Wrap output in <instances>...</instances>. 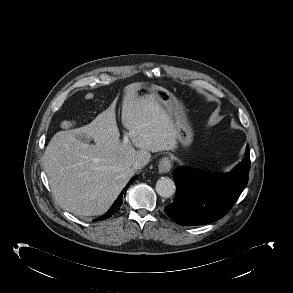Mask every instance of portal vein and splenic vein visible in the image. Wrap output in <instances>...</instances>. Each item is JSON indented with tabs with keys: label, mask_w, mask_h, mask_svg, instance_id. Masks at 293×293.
Returning a JSON list of instances; mask_svg holds the SVG:
<instances>
[{
	"label": "portal vein and splenic vein",
	"mask_w": 293,
	"mask_h": 293,
	"mask_svg": "<svg viewBox=\"0 0 293 293\" xmlns=\"http://www.w3.org/2000/svg\"><path fill=\"white\" fill-rule=\"evenodd\" d=\"M130 143V140H129V133L125 132L124 133V138H123V144L124 145H127Z\"/></svg>",
	"instance_id": "1"
}]
</instances>
